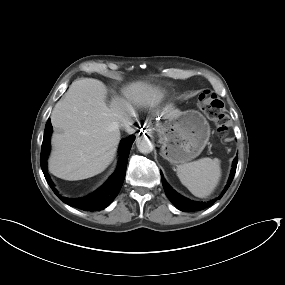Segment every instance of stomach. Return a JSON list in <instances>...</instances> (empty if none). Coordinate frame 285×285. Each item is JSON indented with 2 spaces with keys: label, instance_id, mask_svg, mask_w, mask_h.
<instances>
[{
  "label": "stomach",
  "instance_id": "1",
  "mask_svg": "<svg viewBox=\"0 0 285 285\" xmlns=\"http://www.w3.org/2000/svg\"><path fill=\"white\" fill-rule=\"evenodd\" d=\"M161 156L172 164L196 158L210 137V126L199 112L189 110L166 118L159 126Z\"/></svg>",
  "mask_w": 285,
  "mask_h": 285
}]
</instances>
